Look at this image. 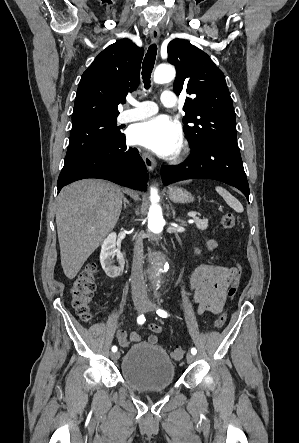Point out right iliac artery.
Masks as SVG:
<instances>
[{
    "mask_svg": "<svg viewBox=\"0 0 299 443\" xmlns=\"http://www.w3.org/2000/svg\"><path fill=\"white\" fill-rule=\"evenodd\" d=\"M145 317H144V314H140L138 317H137V322H138V324H140V325H142L144 322H145ZM117 351V347L116 346H113L112 347V352H116Z\"/></svg>",
    "mask_w": 299,
    "mask_h": 443,
    "instance_id": "obj_1",
    "label": "right iliac artery"
}]
</instances>
